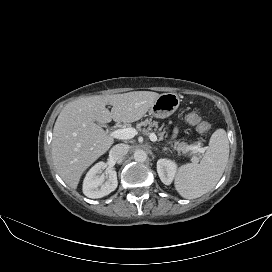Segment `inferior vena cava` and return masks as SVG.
Returning a JSON list of instances; mask_svg holds the SVG:
<instances>
[{"mask_svg": "<svg viewBox=\"0 0 272 272\" xmlns=\"http://www.w3.org/2000/svg\"><path fill=\"white\" fill-rule=\"evenodd\" d=\"M129 146L126 144H117L113 146L109 152V158L112 161L122 159L128 152Z\"/></svg>", "mask_w": 272, "mask_h": 272, "instance_id": "obj_1", "label": "inferior vena cava"}]
</instances>
